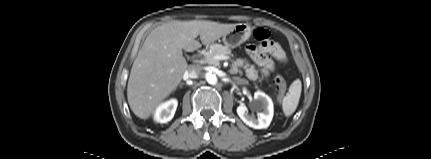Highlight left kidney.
Masks as SVG:
<instances>
[{
    "instance_id": "obj_1",
    "label": "left kidney",
    "mask_w": 431,
    "mask_h": 159,
    "mask_svg": "<svg viewBox=\"0 0 431 159\" xmlns=\"http://www.w3.org/2000/svg\"><path fill=\"white\" fill-rule=\"evenodd\" d=\"M255 104L254 107L258 112L257 118L254 115L248 113V109L245 105L237 107V114L242 121L254 129L267 128L273 118L274 108L271 98L261 91L254 93Z\"/></svg>"
}]
</instances>
